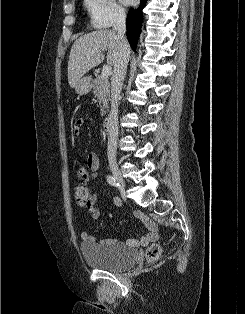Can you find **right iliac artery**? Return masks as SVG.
<instances>
[{
	"instance_id": "obj_1",
	"label": "right iliac artery",
	"mask_w": 245,
	"mask_h": 314,
	"mask_svg": "<svg viewBox=\"0 0 245 314\" xmlns=\"http://www.w3.org/2000/svg\"><path fill=\"white\" fill-rule=\"evenodd\" d=\"M107 182H108L110 185H112V186H117V185H119V184L116 182V179H115L113 176H111V175H108V176H107Z\"/></svg>"
}]
</instances>
